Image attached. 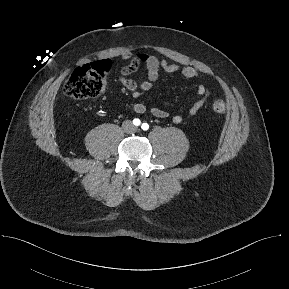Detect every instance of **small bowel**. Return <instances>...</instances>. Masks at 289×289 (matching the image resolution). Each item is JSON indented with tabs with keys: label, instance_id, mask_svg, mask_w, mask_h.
Listing matches in <instances>:
<instances>
[{
	"label": "small bowel",
	"instance_id": "1",
	"mask_svg": "<svg viewBox=\"0 0 289 289\" xmlns=\"http://www.w3.org/2000/svg\"><path fill=\"white\" fill-rule=\"evenodd\" d=\"M121 58L126 64L119 70L118 81L123 87L131 92L134 98H138L141 91H151L154 89V85L158 80L161 70L169 74L180 73L187 79H198L196 86L197 99L188 109V117L195 116L204 106L210 95L209 88L199 79L200 73L194 67L169 63L165 59H159L155 55L144 52H125L122 54ZM141 65H144L147 69V78L142 82H137L129 78V75L137 71ZM133 110L137 114H143L146 112L147 108L142 102H136L133 105ZM150 111L156 118H171L172 122L175 124H180L184 120V114L182 112L171 116L167 111L159 107H152Z\"/></svg>",
	"mask_w": 289,
	"mask_h": 289
}]
</instances>
